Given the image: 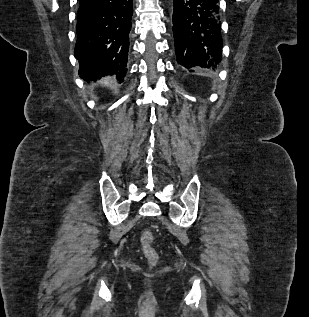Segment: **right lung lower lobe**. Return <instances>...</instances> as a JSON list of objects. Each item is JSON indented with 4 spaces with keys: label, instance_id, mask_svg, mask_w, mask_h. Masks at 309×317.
Here are the masks:
<instances>
[{
    "label": "right lung lower lobe",
    "instance_id": "1",
    "mask_svg": "<svg viewBox=\"0 0 309 317\" xmlns=\"http://www.w3.org/2000/svg\"><path fill=\"white\" fill-rule=\"evenodd\" d=\"M132 0H80L75 57L85 81L126 75Z\"/></svg>",
    "mask_w": 309,
    "mask_h": 317
}]
</instances>
